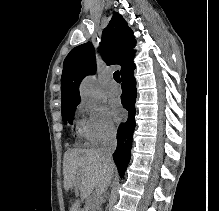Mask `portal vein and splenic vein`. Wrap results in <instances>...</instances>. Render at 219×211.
<instances>
[{"label":"portal vein and splenic vein","mask_w":219,"mask_h":211,"mask_svg":"<svg viewBox=\"0 0 219 211\" xmlns=\"http://www.w3.org/2000/svg\"><path fill=\"white\" fill-rule=\"evenodd\" d=\"M89 201H93V199H89Z\"/></svg>","instance_id":"1"}]
</instances>
